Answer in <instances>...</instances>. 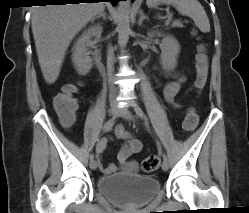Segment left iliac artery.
<instances>
[{"label": "left iliac artery", "mask_w": 249, "mask_h": 213, "mask_svg": "<svg viewBox=\"0 0 249 213\" xmlns=\"http://www.w3.org/2000/svg\"><path fill=\"white\" fill-rule=\"evenodd\" d=\"M134 110H135L136 114H137L140 118H142V119H144V120L146 119V116H145L143 110H142L138 105H134ZM163 159H164V160H167V155H166L165 153L163 154Z\"/></svg>", "instance_id": "1"}]
</instances>
